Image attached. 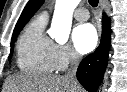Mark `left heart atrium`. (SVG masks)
Returning a JSON list of instances; mask_svg holds the SVG:
<instances>
[{
	"mask_svg": "<svg viewBox=\"0 0 127 92\" xmlns=\"http://www.w3.org/2000/svg\"><path fill=\"white\" fill-rule=\"evenodd\" d=\"M72 40L80 54L91 52L98 42L96 29L89 23L80 24L74 29Z\"/></svg>",
	"mask_w": 127,
	"mask_h": 92,
	"instance_id": "left-heart-atrium-1",
	"label": "left heart atrium"
}]
</instances>
